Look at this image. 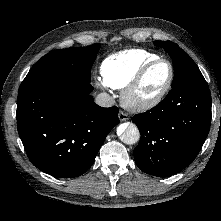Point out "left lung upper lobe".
Segmentation results:
<instances>
[{"label": "left lung upper lobe", "mask_w": 221, "mask_h": 221, "mask_svg": "<svg viewBox=\"0 0 221 221\" xmlns=\"http://www.w3.org/2000/svg\"><path fill=\"white\" fill-rule=\"evenodd\" d=\"M154 45L164 48L171 56L174 65L172 88L186 83L206 82L192 58L178 45L171 41H154Z\"/></svg>", "instance_id": "obj_1"}]
</instances>
